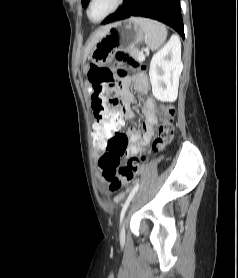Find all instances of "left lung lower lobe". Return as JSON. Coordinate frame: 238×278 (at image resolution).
I'll return each instance as SVG.
<instances>
[{"mask_svg": "<svg viewBox=\"0 0 238 278\" xmlns=\"http://www.w3.org/2000/svg\"><path fill=\"white\" fill-rule=\"evenodd\" d=\"M131 16L147 17L163 22L184 38L180 0H124L120 11L108 16L103 24L123 20Z\"/></svg>", "mask_w": 238, "mask_h": 278, "instance_id": "1", "label": "left lung lower lobe"}]
</instances>
